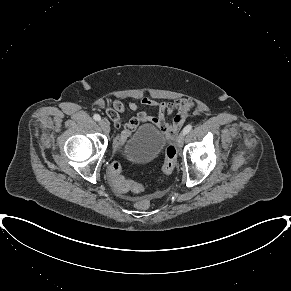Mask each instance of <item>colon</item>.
Masks as SVG:
<instances>
[{
	"label": "colon",
	"mask_w": 291,
	"mask_h": 291,
	"mask_svg": "<svg viewBox=\"0 0 291 291\" xmlns=\"http://www.w3.org/2000/svg\"><path fill=\"white\" fill-rule=\"evenodd\" d=\"M177 164V151L173 145H169L165 150V158L162 166V173L170 175ZM109 179L114 190L119 194L128 192H140L142 186L125 178L122 174L121 165L118 162H113L109 167ZM135 207L139 210H147L151 207V202L147 198H141L135 202Z\"/></svg>",
	"instance_id": "5ec220e1"
}]
</instances>
